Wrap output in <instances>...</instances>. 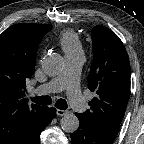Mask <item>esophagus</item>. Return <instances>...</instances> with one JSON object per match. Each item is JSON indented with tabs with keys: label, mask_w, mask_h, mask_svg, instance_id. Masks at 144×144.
Listing matches in <instances>:
<instances>
[{
	"label": "esophagus",
	"mask_w": 144,
	"mask_h": 144,
	"mask_svg": "<svg viewBox=\"0 0 144 144\" xmlns=\"http://www.w3.org/2000/svg\"><path fill=\"white\" fill-rule=\"evenodd\" d=\"M56 113L58 116H64L68 114V111L57 109Z\"/></svg>",
	"instance_id": "obj_1"
}]
</instances>
